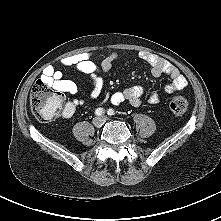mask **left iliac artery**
Here are the masks:
<instances>
[{
    "mask_svg": "<svg viewBox=\"0 0 221 221\" xmlns=\"http://www.w3.org/2000/svg\"><path fill=\"white\" fill-rule=\"evenodd\" d=\"M107 114L110 115V116H112V115H114L115 113H114V110H113V109H109V110L107 111Z\"/></svg>",
    "mask_w": 221,
    "mask_h": 221,
    "instance_id": "44dca946",
    "label": "left iliac artery"
}]
</instances>
